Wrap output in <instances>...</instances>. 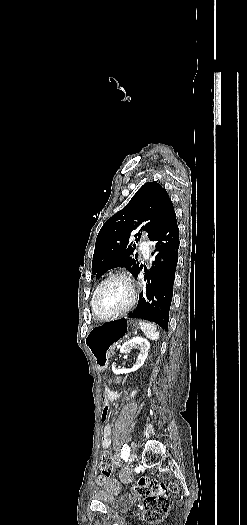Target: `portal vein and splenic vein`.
Returning a JSON list of instances; mask_svg holds the SVG:
<instances>
[{
  "label": "portal vein and splenic vein",
  "instance_id": "obj_1",
  "mask_svg": "<svg viewBox=\"0 0 247 525\" xmlns=\"http://www.w3.org/2000/svg\"><path fill=\"white\" fill-rule=\"evenodd\" d=\"M122 346V343H118V345H116V348H121Z\"/></svg>",
  "mask_w": 247,
  "mask_h": 525
}]
</instances>
